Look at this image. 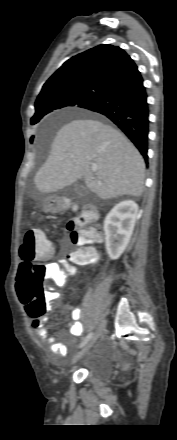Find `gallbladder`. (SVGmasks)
<instances>
[{"mask_svg": "<svg viewBox=\"0 0 177 440\" xmlns=\"http://www.w3.org/2000/svg\"><path fill=\"white\" fill-rule=\"evenodd\" d=\"M84 190L83 186L76 187L77 192H82Z\"/></svg>", "mask_w": 177, "mask_h": 440, "instance_id": "bac80fb5", "label": "gallbladder"}]
</instances>
